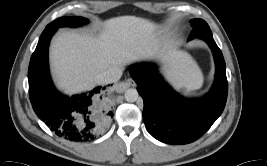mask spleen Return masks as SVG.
<instances>
[{
    "instance_id": "spleen-1",
    "label": "spleen",
    "mask_w": 267,
    "mask_h": 166,
    "mask_svg": "<svg viewBox=\"0 0 267 166\" xmlns=\"http://www.w3.org/2000/svg\"><path fill=\"white\" fill-rule=\"evenodd\" d=\"M196 89V87H188L186 89L187 93L193 92Z\"/></svg>"
}]
</instances>
